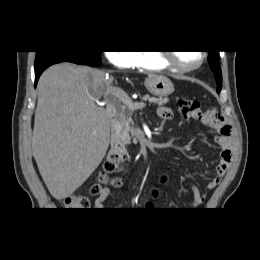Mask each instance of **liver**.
<instances>
[{
  "mask_svg": "<svg viewBox=\"0 0 260 260\" xmlns=\"http://www.w3.org/2000/svg\"><path fill=\"white\" fill-rule=\"evenodd\" d=\"M106 76L100 69L60 63L46 69L38 81L32 151L57 200L72 195L88 179L109 147L107 113L96 105L112 89V78Z\"/></svg>",
  "mask_w": 260,
  "mask_h": 260,
  "instance_id": "6515ba94",
  "label": "liver"
}]
</instances>
